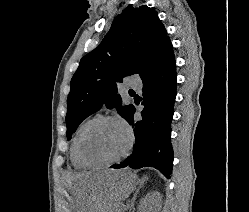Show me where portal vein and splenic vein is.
I'll list each match as a JSON object with an SVG mask.
<instances>
[{
    "label": "portal vein and splenic vein",
    "instance_id": "portal-vein-and-splenic-vein-1",
    "mask_svg": "<svg viewBox=\"0 0 249 212\" xmlns=\"http://www.w3.org/2000/svg\"><path fill=\"white\" fill-rule=\"evenodd\" d=\"M117 212H121V210H117Z\"/></svg>",
    "mask_w": 249,
    "mask_h": 212
}]
</instances>
